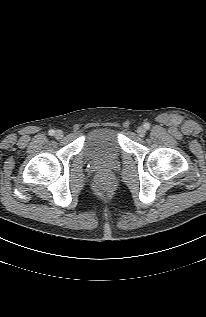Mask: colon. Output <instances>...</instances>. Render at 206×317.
Segmentation results:
<instances>
[{"label": "colon", "mask_w": 206, "mask_h": 317, "mask_svg": "<svg viewBox=\"0 0 206 317\" xmlns=\"http://www.w3.org/2000/svg\"><path fill=\"white\" fill-rule=\"evenodd\" d=\"M112 178L108 175L98 177L96 180V187L99 191H107L112 186Z\"/></svg>", "instance_id": "obj_1"}]
</instances>
